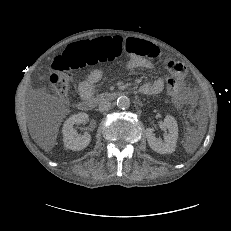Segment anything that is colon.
<instances>
[{
	"mask_svg": "<svg viewBox=\"0 0 231 231\" xmlns=\"http://www.w3.org/2000/svg\"><path fill=\"white\" fill-rule=\"evenodd\" d=\"M124 40L119 36L101 38L90 43L70 46L62 56L52 62L53 72L49 82L54 91L61 97L66 96L72 79V71L88 62L112 61L122 55ZM167 91L171 95L178 92V84L174 77L167 80Z\"/></svg>",
	"mask_w": 231,
	"mask_h": 231,
	"instance_id": "colon-1",
	"label": "colon"
}]
</instances>
